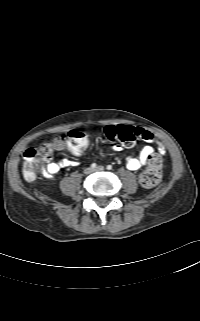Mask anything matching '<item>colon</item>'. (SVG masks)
<instances>
[{
	"instance_id": "1",
	"label": "colon",
	"mask_w": 200,
	"mask_h": 321,
	"mask_svg": "<svg viewBox=\"0 0 200 321\" xmlns=\"http://www.w3.org/2000/svg\"><path fill=\"white\" fill-rule=\"evenodd\" d=\"M104 134L110 141L118 142L125 147H132L137 138L140 137V130L127 125H108L104 128ZM67 145L72 155L83 157L86 154V134L74 130L67 135ZM55 150L53 142L44 143L39 148H28L23 154V174L27 180H33L36 171L42 162L48 160ZM162 160L157 154H153L147 168L140 175V182L144 187L156 186L162 176Z\"/></svg>"
}]
</instances>
